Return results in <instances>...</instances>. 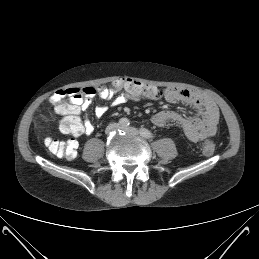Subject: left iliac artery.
Here are the masks:
<instances>
[{
    "label": "left iliac artery",
    "mask_w": 259,
    "mask_h": 259,
    "mask_svg": "<svg viewBox=\"0 0 259 259\" xmlns=\"http://www.w3.org/2000/svg\"><path fill=\"white\" fill-rule=\"evenodd\" d=\"M140 134H141L143 137L148 138V139L154 137L153 133H151V132H150L148 129H146V128H141V129H140Z\"/></svg>",
    "instance_id": "obj_1"
}]
</instances>
